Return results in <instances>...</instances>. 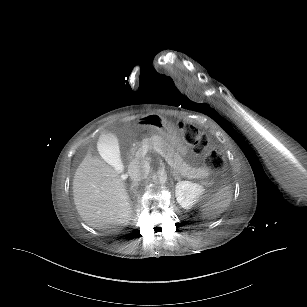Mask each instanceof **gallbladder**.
Here are the masks:
<instances>
[{"label":"gallbladder","mask_w":307,"mask_h":307,"mask_svg":"<svg viewBox=\"0 0 307 307\" xmlns=\"http://www.w3.org/2000/svg\"><path fill=\"white\" fill-rule=\"evenodd\" d=\"M117 139V136L114 134L103 133L96 139L95 146L99 149L100 154L105 158V160L108 163L113 164L115 172L118 174L120 173V178L124 180L128 175L126 172H122V160L119 156L120 144Z\"/></svg>","instance_id":"1"}]
</instances>
